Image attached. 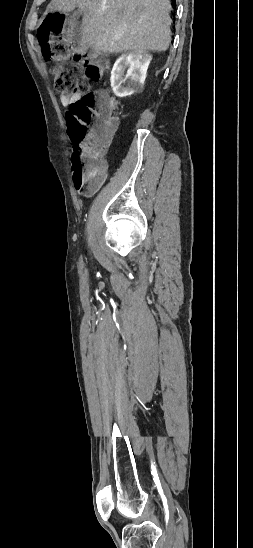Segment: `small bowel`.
Returning <instances> with one entry per match:
<instances>
[{
	"label": "small bowel",
	"mask_w": 253,
	"mask_h": 548,
	"mask_svg": "<svg viewBox=\"0 0 253 548\" xmlns=\"http://www.w3.org/2000/svg\"><path fill=\"white\" fill-rule=\"evenodd\" d=\"M78 99H79L78 95L62 96L61 97V101L64 105H69V104L75 102ZM105 179H106V171L102 174V176L99 179H97L92 184L87 185V186H76L75 185V187L79 191V193H81L82 195L89 196V195L94 194L101 187V185L104 183Z\"/></svg>",
	"instance_id": "obj_1"
}]
</instances>
